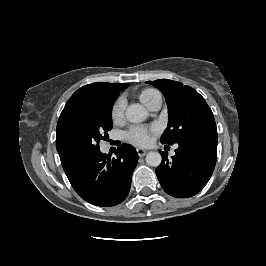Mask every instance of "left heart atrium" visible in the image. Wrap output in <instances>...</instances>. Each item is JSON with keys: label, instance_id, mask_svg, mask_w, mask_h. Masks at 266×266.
<instances>
[{"label": "left heart atrium", "instance_id": "1", "mask_svg": "<svg viewBox=\"0 0 266 266\" xmlns=\"http://www.w3.org/2000/svg\"><path fill=\"white\" fill-rule=\"evenodd\" d=\"M155 127L133 126L126 132V140L137 146H147L152 140Z\"/></svg>", "mask_w": 266, "mask_h": 266}]
</instances>
